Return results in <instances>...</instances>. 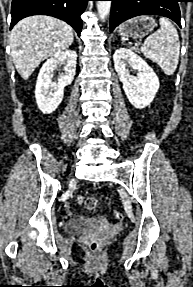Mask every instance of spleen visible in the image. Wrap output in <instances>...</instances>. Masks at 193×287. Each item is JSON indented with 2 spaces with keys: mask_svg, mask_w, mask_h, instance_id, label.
Instances as JSON below:
<instances>
[{
  "mask_svg": "<svg viewBox=\"0 0 193 287\" xmlns=\"http://www.w3.org/2000/svg\"><path fill=\"white\" fill-rule=\"evenodd\" d=\"M159 23L160 28L144 41L141 52L157 63L166 75H172L179 63V36L168 19L160 18Z\"/></svg>",
  "mask_w": 193,
  "mask_h": 287,
  "instance_id": "1",
  "label": "spleen"
}]
</instances>
